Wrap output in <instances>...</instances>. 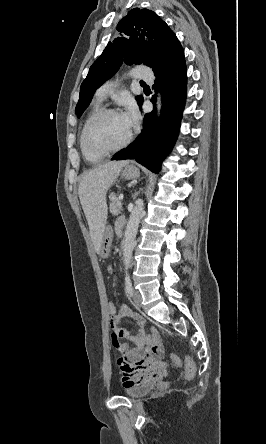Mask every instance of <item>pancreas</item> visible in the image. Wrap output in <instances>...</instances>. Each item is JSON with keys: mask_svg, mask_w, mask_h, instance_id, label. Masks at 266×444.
Returning <instances> with one entry per match:
<instances>
[{"mask_svg": "<svg viewBox=\"0 0 266 444\" xmlns=\"http://www.w3.org/2000/svg\"><path fill=\"white\" fill-rule=\"evenodd\" d=\"M122 209V203L115 194L110 196V212L112 215H118Z\"/></svg>", "mask_w": 266, "mask_h": 444, "instance_id": "1", "label": "pancreas"}]
</instances>
